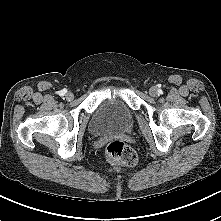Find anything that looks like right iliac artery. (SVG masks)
<instances>
[{"mask_svg":"<svg viewBox=\"0 0 221 221\" xmlns=\"http://www.w3.org/2000/svg\"><path fill=\"white\" fill-rule=\"evenodd\" d=\"M66 92H67L66 90H61V91L59 92V95H60V96H64V94H65Z\"/></svg>","mask_w":221,"mask_h":221,"instance_id":"right-iliac-artery-1","label":"right iliac artery"}]
</instances>
